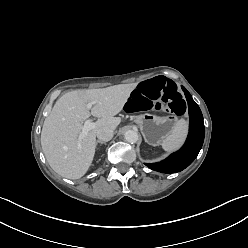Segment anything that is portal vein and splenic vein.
Listing matches in <instances>:
<instances>
[{"mask_svg":"<svg viewBox=\"0 0 248 248\" xmlns=\"http://www.w3.org/2000/svg\"><path fill=\"white\" fill-rule=\"evenodd\" d=\"M93 104H94V103H92V102L88 103V104H87V108H88V109H91ZM95 127H96V123H95V122H93L91 119L86 120V121L84 122L83 127H82V131H81V133H80V135H79V137H78L79 142L87 135V133H88L90 130L94 129Z\"/></svg>","mask_w":248,"mask_h":248,"instance_id":"1","label":"portal vein and splenic vein"}]
</instances>
